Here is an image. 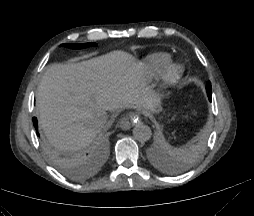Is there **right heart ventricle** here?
<instances>
[{"label":"right heart ventricle","mask_w":254,"mask_h":216,"mask_svg":"<svg viewBox=\"0 0 254 216\" xmlns=\"http://www.w3.org/2000/svg\"><path fill=\"white\" fill-rule=\"evenodd\" d=\"M171 57L167 53H154L148 55L143 61V73L147 79L156 78L169 64Z\"/></svg>","instance_id":"e07e8e85"}]
</instances>
